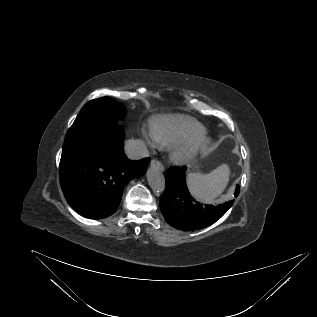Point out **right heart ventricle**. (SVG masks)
<instances>
[{"label":"right heart ventricle","mask_w":317,"mask_h":317,"mask_svg":"<svg viewBox=\"0 0 317 317\" xmlns=\"http://www.w3.org/2000/svg\"><path fill=\"white\" fill-rule=\"evenodd\" d=\"M205 129L194 118L183 115H159L150 121V133L157 145L176 146L188 139L200 137Z\"/></svg>","instance_id":"obj_1"}]
</instances>
